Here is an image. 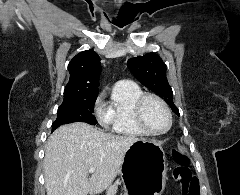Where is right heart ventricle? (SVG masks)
<instances>
[{"mask_svg":"<svg viewBox=\"0 0 240 195\" xmlns=\"http://www.w3.org/2000/svg\"><path fill=\"white\" fill-rule=\"evenodd\" d=\"M142 94L140 86L131 81H120L114 86L107 107L108 115L103 120L106 129L114 131V136L142 137L147 135L135 119V103Z\"/></svg>","mask_w":240,"mask_h":195,"instance_id":"1","label":"right heart ventricle"}]
</instances>
